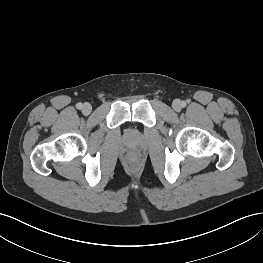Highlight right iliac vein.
<instances>
[{"mask_svg": "<svg viewBox=\"0 0 263 263\" xmlns=\"http://www.w3.org/2000/svg\"><path fill=\"white\" fill-rule=\"evenodd\" d=\"M92 111V106L89 103H84L82 106V113L84 115H89Z\"/></svg>", "mask_w": 263, "mask_h": 263, "instance_id": "1", "label": "right iliac vein"}]
</instances>
